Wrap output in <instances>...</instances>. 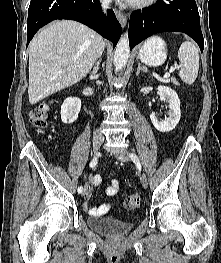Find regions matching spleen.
<instances>
[{"instance_id":"spleen-1","label":"spleen","mask_w":221,"mask_h":263,"mask_svg":"<svg viewBox=\"0 0 221 263\" xmlns=\"http://www.w3.org/2000/svg\"><path fill=\"white\" fill-rule=\"evenodd\" d=\"M178 58L181 63L179 77L188 85L194 83L199 70V53L194 43L185 41L178 51Z\"/></svg>"}]
</instances>
